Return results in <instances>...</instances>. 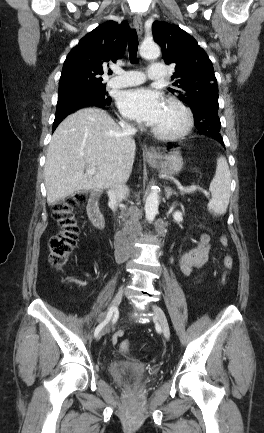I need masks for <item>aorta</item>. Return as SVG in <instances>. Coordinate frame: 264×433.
I'll return each mask as SVG.
<instances>
[{
  "label": "aorta",
  "mask_w": 264,
  "mask_h": 433,
  "mask_svg": "<svg viewBox=\"0 0 264 433\" xmlns=\"http://www.w3.org/2000/svg\"><path fill=\"white\" fill-rule=\"evenodd\" d=\"M140 55L146 59H155L160 55L159 46L154 43H142L140 46ZM159 194L157 189H153L147 196L145 202V215L149 223H152L158 213Z\"/></svg>",
  "instance_id": "1"
}]
</instances>
